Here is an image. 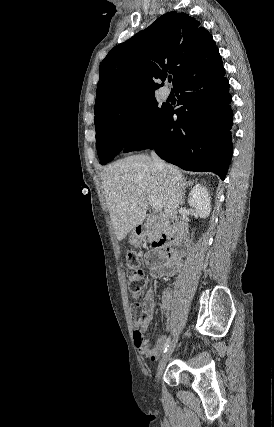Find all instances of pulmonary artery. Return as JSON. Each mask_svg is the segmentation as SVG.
Here are the masks:
<instances>
[{
    "mask_svg": "<svg viewBox=\"0 0 274 427\" xmlns=\"http://www.w3.org/2000/svg\"><path fill=\"white\" fill-rule=\"evenodd\" d=\"M170 96V89L166 86L162 87L160 90V97L162 100H167Z\"/></svg>",
    "mask_w": 274,
    "mask_h": 427,
    "instance_id": "pulmonary-artery-1",
    "label": "pulmonary artery"
}]
</instances>
